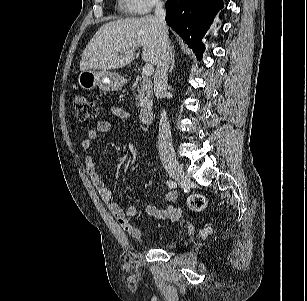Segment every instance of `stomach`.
<instances>
[{"label": "stomach", "instance_id": "0dacf381", "mask_svg": "<svg viewBox=\"0 0 307 301\" xmlns=\"http://www.w3.org/2000/svg\"><path fill=\"white\" fill-rule=\"evenodd\" d=\"M78 85L83 90H92L98 87L103 91H117L125 83L124 77L106 70H85L78 75Z\"/></svg>", "mask_w": 307, "mask_h": 301}]
</instances>
